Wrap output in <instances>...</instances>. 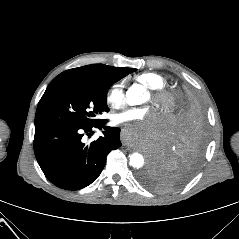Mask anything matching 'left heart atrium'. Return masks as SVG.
<instances>
[{
    "label": "left heart atrium",
    "mask_w": 239,
    "mask_h": 239,
    "mask_svg": "<svg viewBox=\"0 0 239 239\" xmlns=\"http://www.w3.org/2000/svg\"><path fill=\"white\" fill-rule=\"evenodd\" d=\"M112 120L115 124H126L137 121L140 127L147 133L154 132L157 124V116L149 108H129L113 115ZM143 131V132H144ZM127 132L130 140H137L142 131L134 127H128Z\"/></svg>",
    "instance_id": "obj_1"
}]
</instances>
